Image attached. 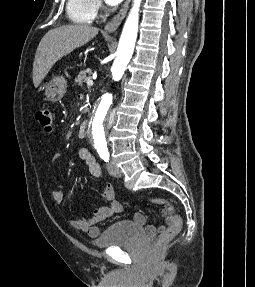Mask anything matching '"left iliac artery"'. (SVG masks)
I'll return each instance as SVG.
<instances>
[{"instance_id":"left-iliac-artery-1","label":"left iliac artery","mask_w":255,"mask_h":287,"mask_svg":"<svg viewBox=\"0 0 255 287\" xmlns=\"http://www.w3.org/2000/svg\"><path fill=\"white\" fill-rule=\"evenodd\" d=\"M97 152L99 154V156L105 161L108 162L109 161V151L107 147H98L97 148Z\"/></svg>"}]
</instances>
